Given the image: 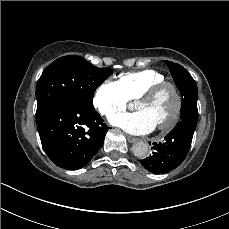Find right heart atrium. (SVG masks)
<instances>
[{
	"label": "right heart atrium",
	"instance_id": "1",
	"mask_svg": "<svg viewBox=\"0 0 229 229\" xmlns=\"http://www.w3.org/2000/svg\"><path fill=\"white\" fill-rule=\"evenodd\" d=\"M130 100L117 82L106 80L94 92L92 103L103 116L110 118L125 110Z\"/></svg>",
	"mask_w": 229,
	"mask_h": 229
}]
</instances>
